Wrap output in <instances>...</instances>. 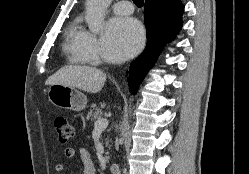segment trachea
<instances>
[{
	"instance_id": "3493384b",
	"label": "trachea",
	"mask_w": 249,
	"mask_h": 174,
	"mask_svg": "<svg viewBox=\"0 0 249 174\" xmlns=\"http://www.w3.org/2000/svg\"><path fill=\"white\" fill-rule=\"evenodd\" d=\"M133 2L137 7H142L144 4V0H133Z\"/></svg>"
}]
</instances>
